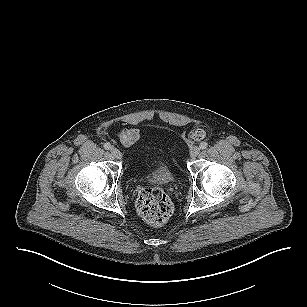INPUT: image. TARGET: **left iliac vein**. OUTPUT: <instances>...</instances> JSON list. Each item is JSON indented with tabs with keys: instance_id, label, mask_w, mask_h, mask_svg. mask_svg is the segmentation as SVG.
Segmentation results:
<instances>
[{
	"instance_id": "left-iliac-vein-1",
	"label": "left iliac vein",
	"mask_w": 307,
	"mask_h": 307,
	"mask_svg": "<svg viewBox=\"0 0 307 307\" xmlns=\"http://www.w3.org/2000/svg\"><path fill=\"white\" fill-rule=\"evenodd\" d=\"M199 153H200V147L198 146H193L189 152L191 158L197 157Z\"/></svg>"
}]
</instances>
